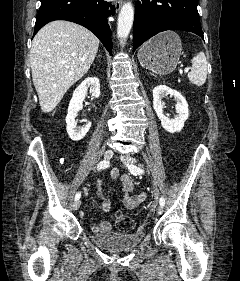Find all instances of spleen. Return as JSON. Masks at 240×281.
<instances>
[{"label": "spleen", "instance_id": "1", "mask_svg": "<svg viewBox=\"0 0 240 281\" xmlns=\"http://www.w3.org/2000/svg\"><path fill=\"white\" fill-rule=\"evenodd\" d=\"M191 71L188 74L189 81L196 85L202 86L207 78V60L203 52L195 55L192 60Z\"/></svg>", "mask_w": 240, "mask_h": 281}]
</instances>
